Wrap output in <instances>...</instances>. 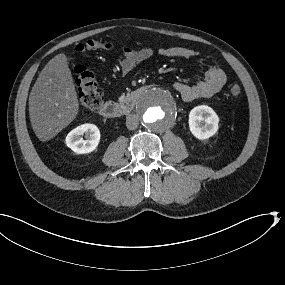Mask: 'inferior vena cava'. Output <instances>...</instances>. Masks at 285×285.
<instances>
[{"mask_svg": "<svg viewBox=\"0 0 285 285\" xmlns=\"http://www.w3.org/2000/svg\"><path fill=\"white\" fill-rule=\"evenodd\" d=\"M126 126L129 130H135L139 126V118L135 114H129L126 117Z\"/></svg>", "mask_w": 285, "mask_h": 285, "instance_id": "inferior-vena-cava-1", "label": "inferior vena cava"}]
</instances>
